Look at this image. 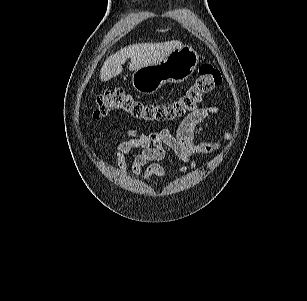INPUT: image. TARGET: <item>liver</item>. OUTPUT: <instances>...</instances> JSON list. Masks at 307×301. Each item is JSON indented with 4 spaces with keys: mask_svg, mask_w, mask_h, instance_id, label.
I'll return each mask as SVG.
<instances>
[{
    "mask_svg": "<svg viewBox=\"0 0 307 301\" xmlns=\"http://www.w3.org/2000/svg\"><path fill=\"white\" fill-rule=\"evenodd\" d=\"M181 44L180 41H168L164 43H136L124 47L106 59L100 70V79L105 82L122 73V65L128 58L131 60L130 71L159 63Z\"/></svg>",
    "mask_w": 307,
    "mask_h": 301,
    "instance_id": "6515ba94",
    "label": "liver"
}]
</instances>
